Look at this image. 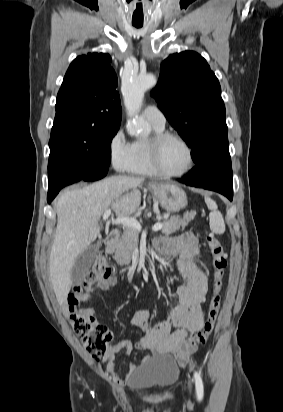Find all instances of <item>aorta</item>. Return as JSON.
<instances>
[{
    "label": "aorta",
    "instance_id": "762f6f07",
    "mask_svg": "<svg viewBox=\"0 0 283 412\" xmlns=\"http://www.w3.org/2000/svg\"><path fill=\"white\" fill-rule=\"evenodd\" d=\"M156 85V78L153 75L146 77L126 78L122 84V94L124 105L129 120L126 125L130 135L142 134V120L138 117L145 92Z\"/></svg>",
    "mask_w": 283,
    "mask_h": 412
}]
</instances>
